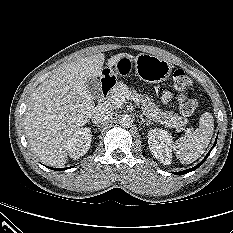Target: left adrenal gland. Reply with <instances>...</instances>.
Returning a JSON list of instances; mask_svg holds the SVG:
<instances>
[{
    "mask_svg": "<svg viewBox=\"0 0 233 233\" xmlns=\"http://www.w3.org/2000/svg\"><path fill=\"white\" fill-rule=\"evenodd\" d=\"M141 123H145L147 126H150L152 123L150 120H146L143 118L142 115H140Z\"/></svg>",
    "mask_w": 233,
    "mask_h": 233,
    "instance_id": "left-adrenal-gland-1",
    "label": "left adrenal gland"
}]
</instances>
